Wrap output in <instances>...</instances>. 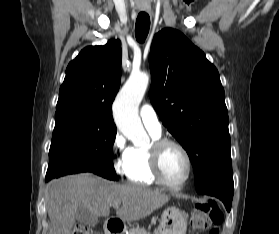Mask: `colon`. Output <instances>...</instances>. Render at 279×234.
<instances>
[{
	"label": "colon",
	"mask_w": 279,
	"mask_h": 234,
	"mask_svg": "<svg viewBox=\"0 0 279 234\" xmlns=\"http://www.w3.org/2000/svg\"><path fill=\"white\" fill-rule=\"evenodd\" d=\"M223 218L224 215L218 203L210 200L195 206L190 218V227L194 232L209 229V234H220L219 225ZM70 234H92V232L88 227L80 225L75 227Z\"/></svg>",
	"instance_id": "obj_1"
}]
</instances>
